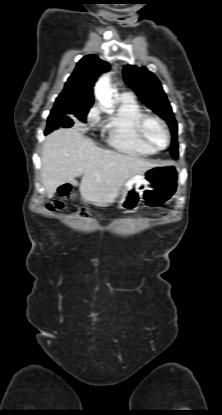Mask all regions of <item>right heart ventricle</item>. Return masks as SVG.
<instances>
[{
	"label": "right heart ventricle",
	"instance_id": "1",
	"mask_svg": "<svg viewBox=\"0 0 222 415\" xmlns=\"http://www.w3.org/2000/svg\"><path fill=\"white\" fill-rule=\"evenodd\" d=\"M117 111L109 117L104 125L106 142L113 148L134 155H152L157 150L145 144L140 138L137 124L144 114L138 102L131 96L121 95L117 98Z\"/></svg>",
	"mask_w": 222,
	"mask_h": 415
}]
</instances>
